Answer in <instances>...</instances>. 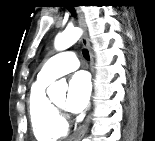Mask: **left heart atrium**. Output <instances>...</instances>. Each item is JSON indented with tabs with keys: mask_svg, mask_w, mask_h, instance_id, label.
I'll use <instances>...</instances> for the list:
<instances>
[{
	"mask_svg": "<svg viewBox=\"0 0 155 141\" xmlns=\"http://www.w3.org/2000/svg\"><path fill=\"white\" fill-rule=\"evenodd\" d=\"M91 84L85 72L76 73L69 82L66 108L73 113L82 112L88 105Z\"/></svg>",
	"mask_w": 155,
	"mask_h": 141,
	"instance_id": "39dd6f15",
	"label": "left heart atrium"
}]
</instances>
